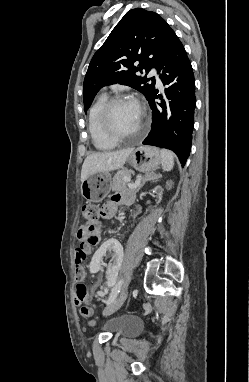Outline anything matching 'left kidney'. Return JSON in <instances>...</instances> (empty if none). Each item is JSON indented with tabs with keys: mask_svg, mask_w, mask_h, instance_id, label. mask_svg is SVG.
Returning a JSON list of instances; mask_svg holds the SVG:
<instances>
[{
	"mask_svg": "<svg viewBox=\"0 0 249 382\" xmlns=\"http://www.w3.org/2000/svg\"><path fill=\"white\" fill-rule=\"evenodd\" d=\"M167 188L171 189L173 186V181H167ZM155 191L158 196L153 197L154 203L163 202V189L160 186L155 187ZM139 208L145 207L144 201L138 202ZM104 245H101L100 249L95 253L92 260L90 261L91 271L93 273H103V286L104 287H113L116 282L117 272L121 267L123 257H125V248L127 245H120L118 237H107V240L104 241ZM103 257H114V260H109L106 263V266H103ZM116 269L114 270V268ZM108 291H95L94 295L91 296L92 302H101L103 298H108Z\"/></svg>",
	"mask_w": 249,
	"mask_h": 382,
	"instance_id": "5707ae66",
	"label": "left kidney"
}]
</instances>
